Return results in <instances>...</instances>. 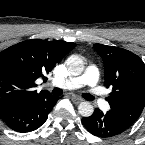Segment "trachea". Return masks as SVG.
Wrapping results in <instances>:
<instances>
[{
  "instance_id": "1",
  "label": "trachea",
  "mask_w": 145,
  "mask_h": 145,
  "mask_svg": "<svg viewBox=\"0 0 145 145\" xmlns=\"http://www.w3.org/2000/svg\"><path fill=\"white\" fill-rule=\"evenodd\" d=\"M52 93L54 95H62L63 91L60 89V88H54L52 90ZM83 98H85L86 100H94V97L88 93H84L83 95Z\"/></svg>"
}]
</instances>
